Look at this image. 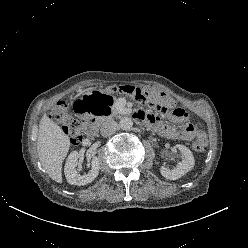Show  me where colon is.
<instances>
[{
    "label": "colon",
    "instance_id": "1",
    "mask_svg": "<svg viewBox=\"0 0 248 248\" xmlns=\"http://www.w3.org/2000/svg\"><path fill=\"white\" fill-rule=\"evenodd\" d=\"M114 91L126 93L142 104L151 106L155 112L178 120L185 119L187 114L181 109L175 107L173 99L166 93L143 90L135 86H121L113 88ZM51 118L62 126V129L73 144H79L82 140L83 129L81 122L70 112L69 106L64 102H58L51 112ZM206 141L196 139L192 148L196 152H202L205 149Z\"/></svg>",
    "mask_w": 248,
    "mask_h": 248
}]
</instances>
